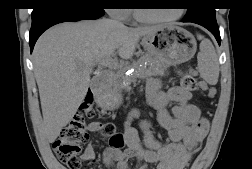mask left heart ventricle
<instances>
[{"label":"left heart ventricle","mask_w":252,"mask_h":169,"mask_svg":"<svg viewBox=\"0 0 252 169\" xmlns=\"http://www.w3.org/2000/svg\"><path fill=\"white\" fill-rule=\"evenodd\" d=\"M139 13L148 18H156V17H163L168 16L174 13V11L170 10H151V9H139Z\"/></svg>","instance_id":"1"}]
</instances>
